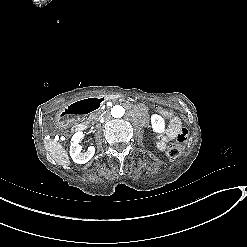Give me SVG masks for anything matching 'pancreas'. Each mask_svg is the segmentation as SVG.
Returning a JSON list of instances; mask_svg holds the SVG:
<instances>
[{"label": "pancreas", "instance_id": "obj_1", "mask_svg": "<svg viewBox=\"0 0 247 247\" xmlns=\"http://www.w3.org/2000/svg\"><path fill=\"white\" fill-rule=\"evenodd\" d=\"M101 111L100 112H94L90 115L88 121L91 122V124H94L95 121L97 120V117L100 115Z\"/></svg>", "mask_w": 247, "mask_h": 247}]
</instances>
